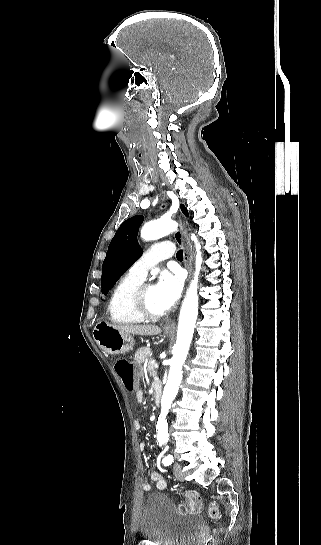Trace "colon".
<instances>
[{
	"instance_id": "obj_1",
	"label": "colon",
	"mask_w": 321,
	"mask_h": 545,
	"mask_svg": "<svg viewBox=\"0 0 321 545\" xmlns=\"http://www.w3.org/2000/svg\"><path fill=\"white\" fill-rule=\"evenodd\" d=\"M115 371L122 380L125 388L129 391H133L136 387V372L132 363L128 360L120 359L115 363ZM180 508L185 512L199 513L201 511V503L194 495L187 494ZM209 515L212 518H217L219 516V509L215 503L210 505ZM212 543V540L208 541V545H212Z\"/></svg>"
}]
</instances>
